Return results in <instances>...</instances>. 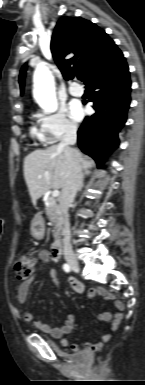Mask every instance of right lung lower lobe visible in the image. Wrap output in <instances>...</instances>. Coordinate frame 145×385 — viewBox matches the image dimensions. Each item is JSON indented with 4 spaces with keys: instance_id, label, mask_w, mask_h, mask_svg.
Returning a JSON list of instances; mask_svg holds the SVG:
<instances>
[{
    "instance_id": "right-lung-lower-lobe-1",
    "label": "right lung lower lobe",
    "mask_w": 145,
    "mask_h": 385,
    "mask_svg": "<svg viewBox=\"0 0 145 385\" xmlns=\"http://www.w3.org/2000/svg\"><path fill=\"white\" fill-rule=\"evenodd\" d=\"M88 89L96 113L84 119L78 130V145L101 166L105 155L117 147L118 132L127 119L131 100L127 63L94 80L88 85Z\"/></svg>"
}]
</instances>
